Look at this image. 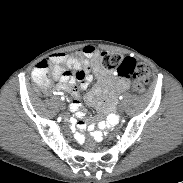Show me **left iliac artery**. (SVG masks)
<instances>
[{"label":"left iliac artery","mask_w":183,"mask_h":183,"mask_svg":"<svg viewBox=\"0 0 183 183\" xmlns=\"http://www.w3.org/2000/svg\"><path fill=\"white\" fill-rule=\"evenodd\" d=\"M119 99L122 100L123 99V96H120Z\"/></svg>","instance_id":"left-iliac-artery-1"}]
</instances>
